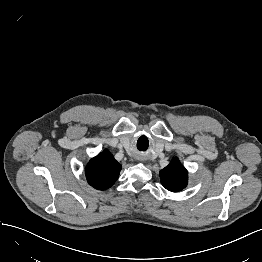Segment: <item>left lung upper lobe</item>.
Returning a JSON list of instances; mask_svg holds the SVG:
<instances>
[{"label":"left lung upper lobe","mask_w":262,"mask_h":262,"mask_svg":"<svg viewBox=\"0 0 262 262\" xmlns=\"http://www.w3.org/2000/svg\"><path fill=\"white\" fill-rule=\"evenodd\" d=\"M162 185L169 191H181L187 185L188 173L177 158L160 171Z\"/></svg>","instance_id":"1"}]
</instances>
